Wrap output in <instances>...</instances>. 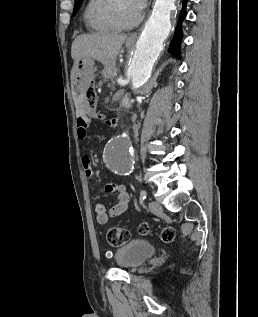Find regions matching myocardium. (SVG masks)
<instances>
[{
	"mask_svg": "<svg viewBox=\"0 0 258 317\" xmlns=\"http://www.w3.org/2000/svg\"><path fill=\"white\" fill-rule=\"evenodd\" d=\"M123 3H128L136 9L135 20L129 27L121 26L117 19V11ZM102 17L114 30L123 31L137 27L141 22L143 16L142 11L137 6L134 0H111L109 3H107L106 6H104L102 10Z\"/></svg>",
	"mask_w": 258,
	"mask_h": 317,
	"instance_id": "1",
	"label": "myocardium"
}]
</instances>
